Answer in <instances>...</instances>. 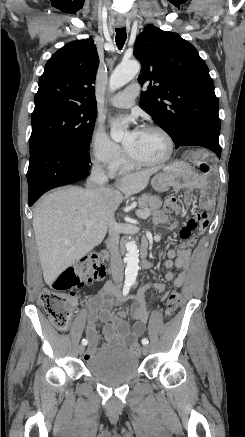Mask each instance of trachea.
I'll return each instance as SVG.
<instances>
[{"label": "trachea", "mask_w": 245, "mask_h": 437, "mask_svg": "<svg viewBox=\"0 0 245 437\" xmlns=\"http://www.w3.org/2000/svg\"><path fill=\"white\" fill-rule=\"evenodd\" d=\"M116 37L115 41L117 44V47L119 49H122L124 46V43L126 41L127 35H126V29L125 28H116Z\"/></svg>", "instance_id": "1"}]
</instances>
